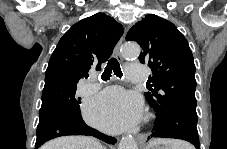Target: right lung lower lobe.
<instances>
[{
    "label": "right lung lower lobe",
    "mask_w": 227,
    "mask_h": 149,
    "mask_svg": "<svg viewBox=\"0 0 227 149\" xmlns=\"http://www.w3.org/2000/svg\"><path fill=\"white\" fill-rule=\"evenodd\" d=\"M36 135V149L53 138L66 135H89L109 144L116 143L115 138L100 133L87 126L82 118L76 117H62L47 122H40L37 127Z\"/></svg>",
    "instance_id": "right-lung-lower-lobe-1"
}]
</instances>
